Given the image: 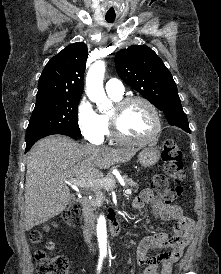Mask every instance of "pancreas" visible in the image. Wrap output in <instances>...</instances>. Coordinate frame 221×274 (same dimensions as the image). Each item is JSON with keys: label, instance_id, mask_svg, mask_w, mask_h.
<instances>
[{"label": "pancreas", "instance_id": "1", "mask_svg": "<svg viewBox=\"0 0 221 274\" xmlns=\"http://www.w3.org/2000/svg\"><path fill=\"white\" fill-rule=\"evenodd\" d=\"M123 180L126 183L127 186L131 187V189L136 192L138 189V184L133 181L132 179L128 178L127 176H123ZM107 201V199H105V197L103 196L102 191H100V189H94L92 192V197L91 199L88 201L87 206L89 207V209L91 211H93L95 209V207H99L101 206V204Z\"/></svg>", "mask_w": 221, "mask_h": 274}]
</instances>
